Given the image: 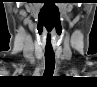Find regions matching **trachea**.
<instances>
[{"label":"trachea","instance_id":"obj_1","mask_svg":"<svg viewBox=\"0 0 97 87\" xmlns=\"http://www.w3.org/2000/svg\"><path fill=\"white\" fill-rule=\"evenodd\" d=\"M45 71L43 77H52L55 69V54L53 51L45 52Z\"/></svg>","mask_w":97,"mask_h":87}]
</instances>
